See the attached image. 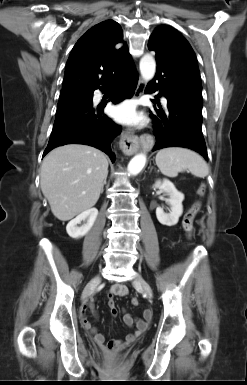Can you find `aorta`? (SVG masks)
Wrapping results in <instances>:
<instances>
[{
  "mask_svg": "<svg viewBox=\"0 0 247 385\" xmlns=\"http://www.w3.org/2000/svg\"><path fill=\"white\" fill-rule=\"evenodd\" d=\"M156 71L155 59L150 54H145L140 60V72L145 81L151 80ZM146 155L140 153L135 155L128 164V172L137 175L145 166Z\"/></svg>",
  "mask_w": 247,
  "mask_h": 385,
  "instance_id": "obj_1",
  "label": "aorta"
}]
</instances>
